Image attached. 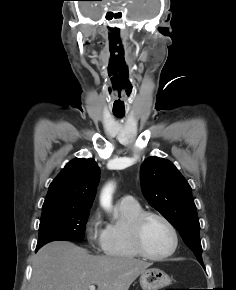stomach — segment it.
<instances>
[{
	"mask_svg": "<svg viewBox=\"0 0 236 290\" xmlns=\"http://www.w3.org/2000/svg\"><path fill=\"white\" fill-rule=\"evenodd\" d=\"M139 282L143 290H159L170 285L171 279L164 271L151 268L141 273Z\"/></svg>",
	"mask_w": 236,
	"mask_h": 290,
	"instance_id": "obj_1",
	"label": "stomach"
}]
</instances>
